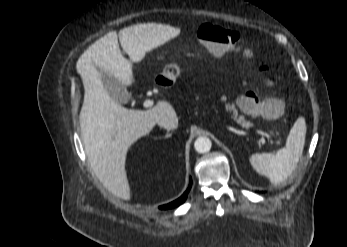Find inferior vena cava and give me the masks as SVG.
<instances>
[{
    "label": "inferior vena cava",
    "instance_id": "inferior-vena-cava-1",
    "mask_svg": "<svg viewBox=\"0 0 347 247\" xmlns=\"http://www.w3.org/2000/svg\"><path fill=\"white\" fill-rule=\"evenodd\" d=\"M157 124L167 130H173L178 127V121L176 116L168 114L158 118Z\"/></svg>",
    "mask_w": 347,
    "mask_h": 247
}]
</instances>
